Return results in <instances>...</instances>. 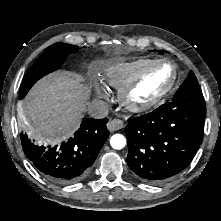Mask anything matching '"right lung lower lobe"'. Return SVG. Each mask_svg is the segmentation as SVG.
Wrapping results in <instances>:
<instances>
[{
  "label": "right lung lower lobe",
  "instance_id": "1",
  "mask_svg": "<svg viewBox=\"0 0 221 221\" xmlns=\"http://www.w3.org/2000/svg\"><path fill=\"white\" fill-rule=\"evenodd\" d=\"M107 122V118H84L73 138L58 145H39L21 133L23 151L34 168L49 180L59 184L76 182L89 173L109 137Z\"/></svg>",
  "mask_w": 221,
  "mask_h": 221
}]
</instances>
